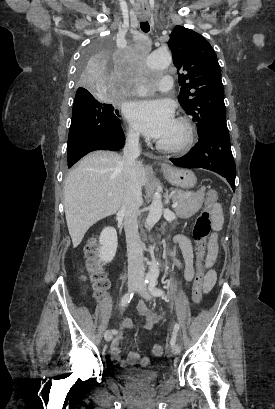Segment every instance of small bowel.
Returning <instances> with one entry per match:
<instances>
[{"mask_svg":"<svg viewBox=\"0 0 275 409\" xmlns=\"http://www.w3.org/2000/svg\"><path fill=\"white\" fill-rule=\"evenodd\" d=\"M223 224V216L221 207L217 204L213 211V233L208 244V251L204 261V268L210 269L217 258V233L220 231ZM175 243L179 246L184 262L182 263L177 256L171 252L170 258L173 264L181 269L184 278L187 282H191L194 278L193 266V248L190 240L184 235H177L174 238ZM216 282V273L209 270L205 279V291L208 292ZM136 312L141 316V321H135L132 318H124L123 326L128 329H152L162 318L161 314L152 311L145 301H139L136 304ZM122 335L119 334L111 343L110 354L115 363L120 366H127L139 363L142 366L149 364V359L146 357L139 358L137 353H130L126 358H121L120 355V341ZM146 360L147 362H144Z\"/></svg>","mask_w":275,"mask_h":409,"instance_id":"obj_1","label":"small bowel"}]
</instances>
